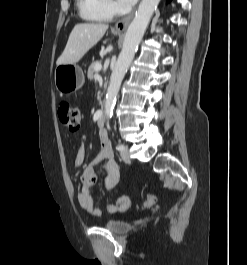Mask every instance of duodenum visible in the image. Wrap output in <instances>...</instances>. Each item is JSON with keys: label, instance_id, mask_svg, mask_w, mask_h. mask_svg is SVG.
Here are the masks:
<instances>
[{"label": "duodenum", "instance_id": "obj_1", "mask_svg": "<svg viewBox=\"0 0 247 265\" xmlns=\"http://www.w3.org/2000/svg\"><path fill=\"white\" fill-rule=\"evenodd\" d=\"M97 124L100 127H103L105 124V114L103 111L98 114Z\"/></svg>", "mask_w": 247, "mask_h": 265}]
</instances>
